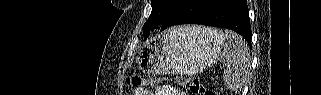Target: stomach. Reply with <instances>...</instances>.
Masks as SVG:
<instances>
[{"label": "stomach", "mask_w": 321, "mask_h": 95, "mask_svg": "<svg viewBox=\"0 0 321 95\" xmlns=\"http://www.w3.org/2000/svg\"><path fill=\"white\" fill-rule=\"evenodd\" d=\"M202 27L170 29L139 51V67L149 74H197L211 67L224 45L221 32H204Z\"/></svg>", "instance_id": "obj_1"}]
</instances>
